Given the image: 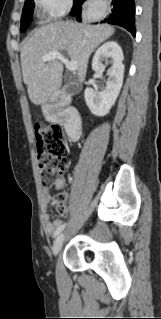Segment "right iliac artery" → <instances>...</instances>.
Returning <instances> with one entry per match:
<instances>
[{"instance_id": "obj_1", "label": "right iliac artery", "mask_w": 161, "mask_h": 319, "mask_svg": "<svg viewBox=\"0 0 161 319\" xmlns=\"http://www.w3.org/2000/svg\"><path fill=\"white\" fill-rule=\"evenodd\" d=\"M66 224H62L54 233V237H57L65 228Z\"/></svg>"}]
</instances>
